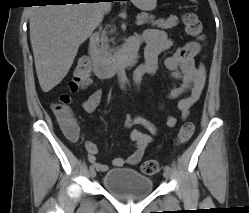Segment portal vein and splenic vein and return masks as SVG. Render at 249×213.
<instances>
[{"mask_svg":"<svg viewBox=\"0 0 249 213\" xmlns=\"http://www.w3.org/2000/svg\"><path fill=\"white\" fill-rule=\"evenodd\" d=\"M144 23H145V21L143 19H141V18L137 19V21H136L137 25H142Z\"/></svg>","mask_w":249,"mask_h":213,"instance_id":"18ae733b","label":"portal vein and splenic vein"}]
</instances>
